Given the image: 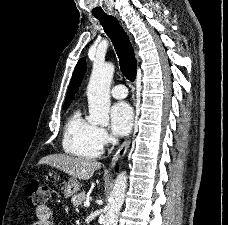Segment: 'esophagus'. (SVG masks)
<instances>
[{"label": "esophagus", "instance_id": "esophagus-1", "mask_svg": "<svg viewBox=\"0 0 228 225\" xmlns=\"http://www.w3.org/2000/svg\"><path fill=\"white\" fill-rule=\"evenodd\" d=\"M137 60L139 62V57L138 56H137ZM130 142H131V137H128L120 145L119 149L117 150V152L114 154V156L112 158L109 170L114 167V165L118 162V160H120L122 157H124L125 153L127 152L128 148L130 146Z\"/></svg>", "mask_w": 228, "mask_h": 225}]
</instances>
